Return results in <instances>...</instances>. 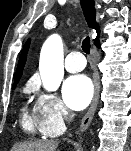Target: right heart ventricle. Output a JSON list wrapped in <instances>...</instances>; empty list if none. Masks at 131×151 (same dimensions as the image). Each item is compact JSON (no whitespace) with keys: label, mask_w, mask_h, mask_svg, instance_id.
I'll use <instances>...</instances> for the list:
<instances>
[{"label":"right heart ventricle","mask_w":131,"mask_h":151,"mask_svg":"<svg viewBox=\"0 0 131 151\" xmlns=\"http://www.w3.org/2000/svg\"><path fill=\"white\" fill-rule=\"evenodd\" d=\"M35 113V107L30 111L27 106H25L21 111V126L24 131L30 134H35L37 131L41 132L38 117Z\"/></svg>","instance_id":"1"}]
</instances>
